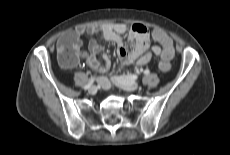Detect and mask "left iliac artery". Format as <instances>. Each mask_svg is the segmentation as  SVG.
<instances>
[{
  "mask_svg": "<svg viewBox=\"0 0 230 155\" xmlns=\"http://www.w3.org/2000/svg\"><path fill=\"white\" fill-rule=\"evenodd\" d=\"M149 70L147 69V70H145L144 71V75H147V74H149ZM126 79H130V80H136L137 78H138V76L136 75V74H130V75H125L124 76Z\"/></svg>",
  "mask_w": 230,
  "mask_h": 155,
  "instance_id": "1",
  "label": "left iliac artery"
}]
</instances>
